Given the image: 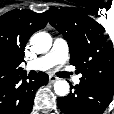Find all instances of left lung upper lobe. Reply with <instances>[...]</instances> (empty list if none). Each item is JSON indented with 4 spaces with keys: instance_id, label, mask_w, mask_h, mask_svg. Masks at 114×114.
I'll return each mask as SVG.
<instances>
[{
    "instance_id": "1",
    "label": "left lung upper lobe",
    "mask_w": 114,
    "mask_h": 114,
    "mask_svg": "<svg viewBox=\"0 0 114 114\" xmlns=\"http://www.w3.org/2000/svg\"><path fill=\"white\" fill-rule=\"evenodd\" d=\"M45 15L68 41L70 64L82 73L81 80L114 87V48L103 35V27L68 7L48 10Z\"/></svg>"
}]
</instances>
